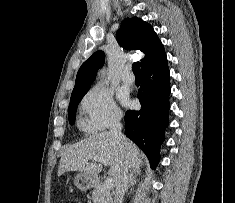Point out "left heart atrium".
Instances as JSON below:
<instances>
[{
    "mask_svg": "<svg viewBox=\"0 0 235 203\" xmlns=\"http://www.w3.org/2000/svg\"><path fill=\"white\" fill-rule=\"evenodd\" d=\"M121 99H122V101H123L124 103H127V102H128V101H127V98H126L125 96H122Z\"/></svg>",
    "mask_w": 235,
    "mask_h": 203,
    "instance_id": "1",
    "label": "left heart atrium"
}]
</instances>
